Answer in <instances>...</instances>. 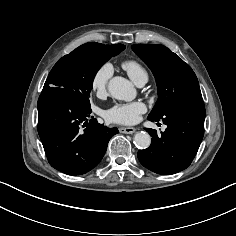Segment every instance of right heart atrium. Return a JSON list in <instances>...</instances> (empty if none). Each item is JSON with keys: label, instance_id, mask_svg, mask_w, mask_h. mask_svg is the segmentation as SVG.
I'll return each instance as SVG.
<instances>
[{"label": "right heart atrium", "instance_id": "obj_1", "mask_svg": "<svg viewBox=\"0 0 236 236\" xmlns=\"http://www.w3.org/2000/svg\"><path fill=\"white\" fill-rule=\"evenodd\" d=\"M112 73L110 63H104L95 70L91 78V89L96 95L100 96L106 92Z\"/></svg>", "mask_w": 236, "mask_h": 236}]
</instances>
